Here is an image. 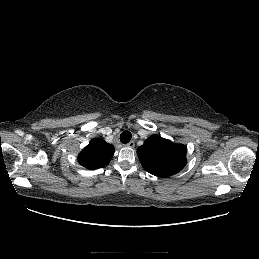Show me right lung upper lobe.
Listing matches in <instances>:
<instances>
[{
  "label": "right lung upper lobe",
  "mask_w": 259,
  "mask_h": 259,
  "mask_svg": "<svg viewBox=\"0 0 259 259\" xmlns=\"http://www.w3.org/2000/svg\"><path fill=\"white\" fill-rule=\"evenodd\" d=\"M114 150L113 145L96 138L80 152L78 162L87 169H98L110 162Z\"/></svg>",
  "instance_id": "obj_1"
}]
</instances>
